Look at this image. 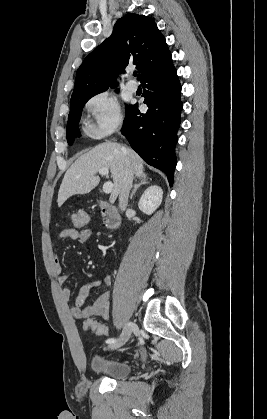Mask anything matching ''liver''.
<instances>
[{
    "instance_id": "1",
    "label": "liver",
    "mask_w": 267,
    "mask_h": 419,
    "mask_svg": "<svg viewBox=\"0 0 267 419\" xmlns=\"http://www.w3.org/2000/svg\"><path fill=\"white\" fill-rule=\"evenodd\" d=\"M129 157L134 174L146 176L143 160L129 148L118 143L105 142L97 145L89 152L81 155L66 171L58 192V206L76 194L91 192L100 182L96 173L101 168H108L113 177V189L110 202L114 203L126 170L125 158Z\"/></svg>"
}]
</instances>
